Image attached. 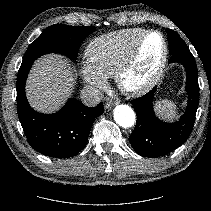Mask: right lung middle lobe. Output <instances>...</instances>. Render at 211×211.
Wrapping results in <instances>:
<instances>
[{
	"label": "right lung middle lobe",
	"instance_id": "dd1d6c3e",
	"mask_svg": "<svg viewBox=\"0 0 211 211\" xmlns=\"http://www.w3.org/2000/svg\"><path fill=\"white\" fill-rule=\"evenodd\" d=\"M94 31L95 28L92 26L52 25L30 44L22 64L48 53L65 54L74 61L77 59L81 43Z\"/></svg>",
	"mask_w": 211,
	"mask_h": 211
}]
</instances>
